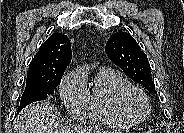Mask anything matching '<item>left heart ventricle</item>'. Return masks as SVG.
<instances>
[{"label": "left heart ventricle", "instance_id": "1", "mask_svg": "<svg viewBox=\"0 0 184 133\" xmlns=\"http://www.w3.org/2000/svg\"><path fill=\"white\" fill-rule=\"evenodd\" d=\"M126 106L127 109L135 116H141L146 112L144 102L136 94H132L128 97L126 101Z\"/></svg>", "mask_w": 184, "mask_h": 133}]
</instances>
